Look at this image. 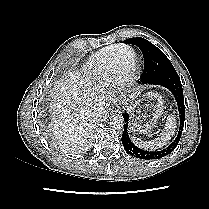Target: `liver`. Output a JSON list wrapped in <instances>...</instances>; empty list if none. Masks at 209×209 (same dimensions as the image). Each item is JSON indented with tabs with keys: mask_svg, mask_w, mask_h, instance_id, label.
I'll list each match as a JSON object with an SVG mask.
<instances>
[{
	"mask_svg": "<svg viewBox=\"0 0 209 209\" xmlns=\"http://www.w3.org/2000/svg\"><path fill=\"white\" fill-rule=\"evenodd\" d=\"M112 96L79 73H69L56 84L51 96L54 108L51 130L61 150L80 153L88 149L92 123L99 116L96 108L105 105ZM135 97L132 93L131 98Z\"/></svg>",
	"mask_w": 209,
	"mask_h": 209,
	"instance_id": "liver-1",
	"label": "liver"
}]
</instances>
